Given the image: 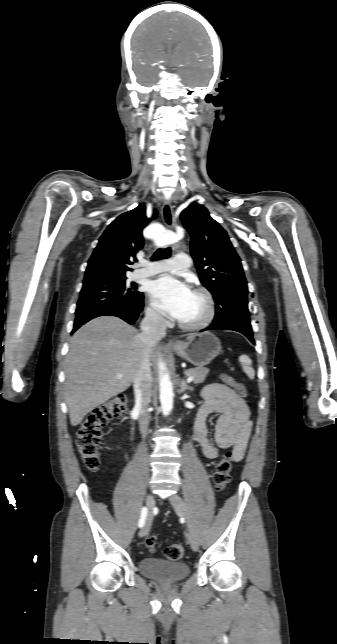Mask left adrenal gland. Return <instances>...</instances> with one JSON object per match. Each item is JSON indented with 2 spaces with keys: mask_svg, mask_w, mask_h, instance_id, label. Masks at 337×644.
Here are the masks:
<instances>
[{
  "mask_svg": "<svg viewBox=\"0 0 337 644\" xmlns=\"http://www.w3.org/2000/svg\"><path fill=\"white\" fill-rule=\"evenodd\" d=\"M185 390L193 391V387L188 385L184 379L180 380V392H184Z\"/></svg>",
  "mask_w": 337,
  "mask_h": 644,
  "instance_id": "1",
  "label": "left adrenal gland"
}]
</instances>
